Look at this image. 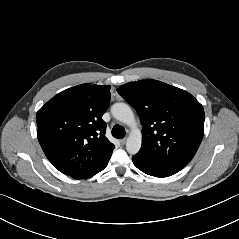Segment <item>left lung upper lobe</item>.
<instances>
[{
    "label": "left lung upper lobe",
    "mask_w": 239,
    "mask_h": 239,
    "mask_svg": "<svg viewBox=\"0 0 239 239\" xmlns=\"http://www.w3.org/2000/svg\"><path fill=\"white\" fill-rule=\"evenodd\" d=\"M117 92L135 108L143 125L136 155L176 171L184 168L204 134V109L195 97L153 79L129 82Z\"/></svg>",
    "instance_id": "left-lung-upper-lobe-1"
}]
</instances>
